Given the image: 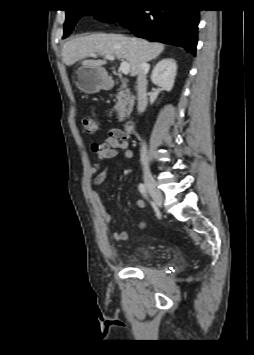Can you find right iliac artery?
I'll return each instance as SVG.
<instances>
[{"mask_svg":"<svg viewBox=\"0 0 254 355\" xmlns=\"http://www.w3.org/2000/svg\"><path fill=\"white\" fill-rule=\"evenodd\" d=\"M140 193L148 200V193L145 184L140 183L138 186Z\"/></svg>","mask_w":254,"mask_h":355,"instance_id":"1","label":"right iliac artery"}]
</instances>
